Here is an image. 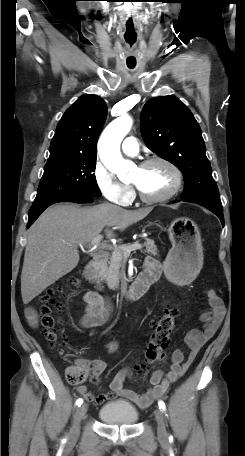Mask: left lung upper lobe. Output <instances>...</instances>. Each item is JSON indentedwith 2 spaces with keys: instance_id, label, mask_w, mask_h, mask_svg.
I'll return each mask as SVG.
<instances>
[{
  "instance_id": "obj_1",
  "label": "left lung upper lobe",
  "mask_w": 245,
  "mask_h": 456,
  "mask_svg": "<svg viewBox=\"0 0 245 456\" xmlns=\"http://www.w3.org/2000/svg\"><path fill=\"white\" fill-rule=\"evenodd\" d=\"M141 132L151 151L183 173V201L222 210L201 129L187 106L172 95L151 99L141 113Z\"/></svg>"
}]
</instances>
